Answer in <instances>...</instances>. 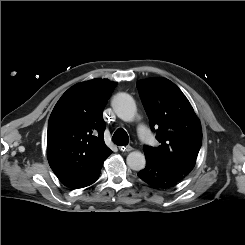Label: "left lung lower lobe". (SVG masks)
<instances>
[{"instance_id": "left-lung-lower-lobe-1", "label": "left lung lower lobe", "mask_w": 245, "mask_h": 245, "mask_svg": "<svg viewBox=\"0 0 245 245\" xmlns=\"http://www.w3.org/2000/svg\"><path fill=\"white\" fill-rule=\"evenodd\" d=\"M137 176L145 183L160 189L174 187L185 179V175L162 167L154 161L146 158V166L137 173Z\"/></svg>"}]
</instances>
